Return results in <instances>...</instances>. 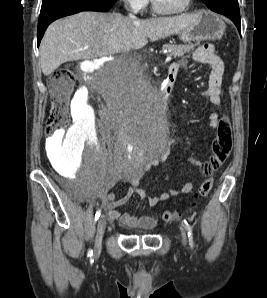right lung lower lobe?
I'll return each instance as SVG.
<instances>
[{
  "mask_svg": "<svg viewBox=\"0 0 267 298\" xmlns=\"http://www.w3.org/2000/svg\"><path fill=\"white\" fill-rule=\"evenodd\" d=\"M117 0H43L38 22L37 43L48 25L56 19L81 11L109 10Z\"/></svg>",
  "mask_w": 267,
  "mask_h": 298,
  "instance_id": "1",
  "label": "right lung lower lobe"
}]
</instances>
